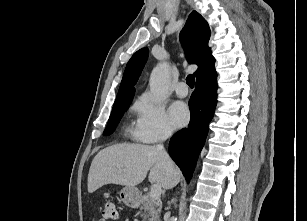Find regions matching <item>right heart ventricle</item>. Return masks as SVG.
<instances>
[{
	"label": "right heart ventricle",
	"mask_w": 307,
	"mask_h": 221,
	"mask_svg": "<svg viewBox=\"0 0 307 221\" xmlns=\"http://www.w3.org/2000/svg\"><path fill=\"white\" fill-rule=\"evenodd\" d=\"M129 131L136 138V129L129 128Z\"/></svg>",
	"instance_id": "1"
}]
</instances>
